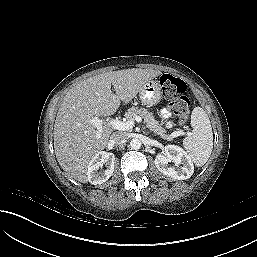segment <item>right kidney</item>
<instances>
[{"label": "right kidney", "instance_id": "right-kidney-1", "mask_svg": "<svg viewBox=\"0 0 257 257\" xmlns=\"http://www.w3.org/2000/svg\"><path fill=\"white\" fill-rule=\"evenodd\" d=\"M105 165V171H99ZM115 166V156L113 153L100 151L90 161L87 168L88 181L93 184L106 182L113 174Z\"/></svg>", "mask_w": 257, "mask_h": 257}]
</instances>
